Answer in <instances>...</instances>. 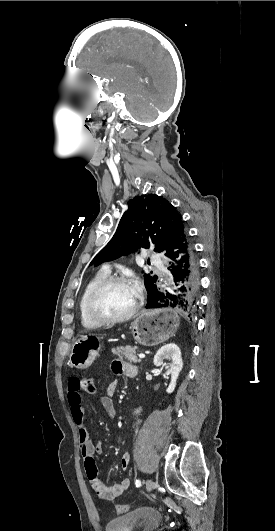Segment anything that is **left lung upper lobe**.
<instances>
[{"label": "left lung upper lobe", "mask_w": 275, "mask_h": 531, "mask_svg": "<svg viewBox=\"0 0 275 531\" xmlns=\"http://www.w3.org/2000/svg\"><path fill=\"white\" fill-rule=\"evenodd\" d=\"M128 206L114 236L90 265L98 266L151 245L154 251L166 253L177 230L183 227L182 217L175 207L156 194L137 196L129 200ZM157 279L155 275L144 274L148 302L159 291L155 285Z\"/></svg>", "instance_id": "left-lung-upper-lobe-1"}]
</instances>
